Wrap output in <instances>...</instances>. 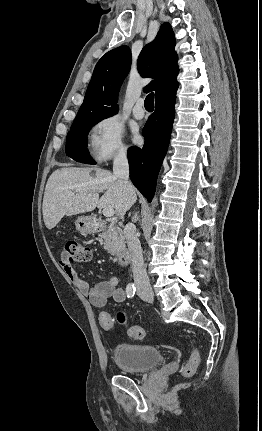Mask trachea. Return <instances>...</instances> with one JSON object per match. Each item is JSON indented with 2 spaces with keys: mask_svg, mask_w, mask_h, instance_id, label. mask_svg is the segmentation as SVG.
Here are the masks:
<instances>
[{
  "mask_svg": "<svg viewBox=\"0 0 262 431\" xmlns=\"http://www.w3.org/2000/svg\"><path fill=\"white\" fill-rule=\"evenodd\" d=\"M144 106L147 110L154 109V93H150L147 95Z\"/></svg>",
  "mask_w": 262,
  "mask_h": 431,
  "instance_id": "obj_1",
  "label": "trachea"
}]
</instances>
